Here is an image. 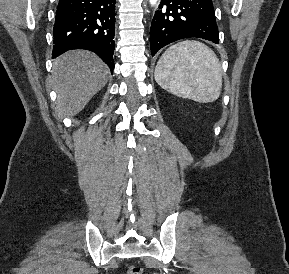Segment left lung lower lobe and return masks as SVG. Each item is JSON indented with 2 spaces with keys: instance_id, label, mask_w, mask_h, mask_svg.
I'll return each instance as SVG.
<instances>
[{
  "instance_id": "left-lung-lower-lobe-1",
  "label": "left lung lower lobe",
  "mask_w": 289,
  "mask_h": 274,
  "mask_svg": "<svg viewBox=\"0 0 289 274\" xmlns=\"http://www.w3.org/2000/svg\"><path fill=\"white\" fill-rule=\"evenodd\" d=\"M219 43L212 0H161L150 29L151 54L184 38Z\"/></svg>"
}]
</instances>
